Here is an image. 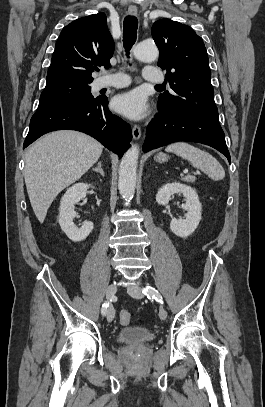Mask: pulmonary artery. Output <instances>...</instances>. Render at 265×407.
I'll return each instance as SVG.
<instances>
[{"instance_id": "pulmonary-artery-1", "label": "pulmonary artery", "mask_w": 265, "mask_h": 407, "mask_svg": "<svg viewBox=\"0 0 265 407\" xmlns=\"http://www.w3.org/2000/svg\"><path fill=\"white\" fill-rule=\"evenodd\" d=\"M143 77L145 80L155 84H161L164 82L165 79L162 71L154 66H146L143 72ZM129 82V78L126 75L117 73L111 79H106L104 77L98 79L96 82V87L98 89L112 87L121 88L127 86Z\"/></svg>"}]
</instances>
